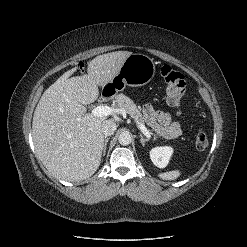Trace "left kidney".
<instances>
[{"instance_id":"left-kidney-1","label":"left kidney","mask_w":247,"mask_h":247,"mask_svg":"<svg viewBox=\"0 0 247 247\" xmlns=\"http://www.w3.org/2000/svg\"><path fill=\"white\" fill-rule=\"evenodd\" d=\"M172 153L173 149L169 146L155 147L150 151V158L155 166L165 168Z\"/></svg>"}]
</instances>
